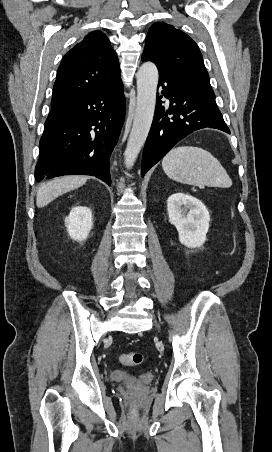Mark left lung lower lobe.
Returning <instances> with one entry per match:
<instances>
[{
    "instance_id": "left-lung-lower-lobe-1",
    "label": "left lung lower lobe",
    "mask_w": 272,
    "mask_h": 452,
    "mask_svg": "<svg viewBox=\"0 0 272 452\" xmlns=\"http://www.w3.org/2000/svg\"><path fill=\"white\" fill-rule=\"evenodd\" d=\"M160 86L163 88L162 95L170 99V106L169 109L164 108L160 100L162 96L157 98L152 126L142 156V177L188 134L202 128H214L230 133L211 87L166 70L159 71L158 87Z\"/></svg>"
}]
</instances>
